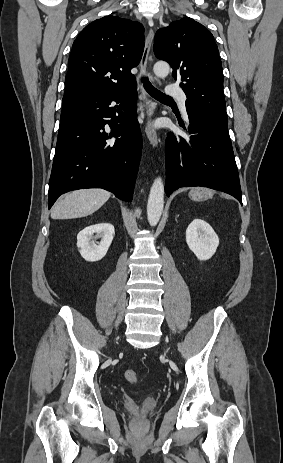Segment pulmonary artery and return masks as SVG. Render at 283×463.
<instances>
[{
	"mask_svg": "<svg viewBox=\"0 0 283 463\" xmlns=\"http://www.w3.org/2000/svg\"><path fill=\"white\" fill-rule=\"evenodd\" d=\"M166 93L170 97H174L178 99L181 103V108L186 115V108H185V101H186V94L178 87H175L173 85H169L166 88Z\"/></svg>",
	"mask_w": 283,
	"mask_h": 463,
	"instance_id": "obj_1",
	"label": "pulmonary artery"
}]
</instances>
